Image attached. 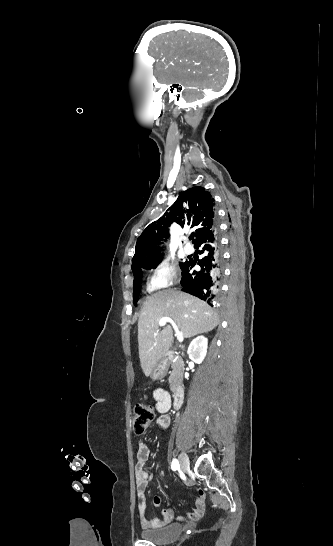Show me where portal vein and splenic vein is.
<instances>
[{"label":"portal vein and splenic vein","instance_id":"portal-vein-and-splenic-vein-1","mask_svg":"<svg viewBox=\"0 0 333 546\" xmlns=\"http://www.w3.org/2000/svg\"><path fill=\"white\" fill-rule=\"evenodd\" d=\"M167 323H170L172 325V327L174 328L175 330V336L177 337V340L181 343L183 342L184 338H183V334L182 332L179 331L176 323L173 321V319H171L170 317H163L159 320V326L160 327H163L165 326Z\"/></svg>","mask_w":333,"mask_h":546}]
</instances>
